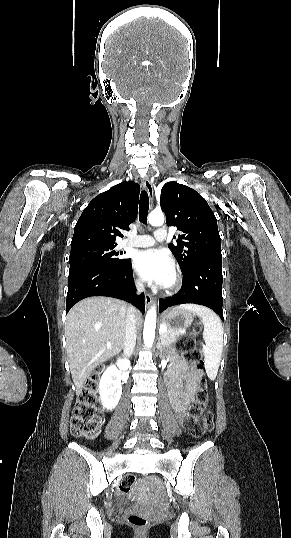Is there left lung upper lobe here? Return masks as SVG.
<instances>
[{
    "label": "left lung upper lobe",
    "instance_id": "obj_1",
    "mask_svg": "<svg viewBox=\"0 0 291 538\" xmlns=\"http://www.w3.org/2000/svg\"><path fill=\"white\" fill-rule=\"evenodd\" d=\"M160 205L167 225L176 226L182 232L174 236L177 245L168 246L182 273L197 262L222 259L216 217L197 191L174 181L167 182L161 189Z\"/></svg>",
    "mask_w": 291,
    "mask_h": 538
}]
</instances>
